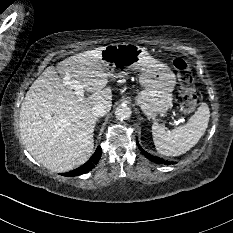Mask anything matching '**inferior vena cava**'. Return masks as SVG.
<instances>
[{"label":"inferior vena cava","mask_w":233,"mask_h":233,"mask_svg":"<svg viewBox=\"0 0 233 233\" xmlns=\"http://www.w3.org/2000/svg\"><path fill=\"white\" fill-rule=\"evenodd\" d=\"M111 109V104L109 103H97L92 107V114L94 116H104Z\"/></svg>","instance_id":"obj_1"}]
</instances>
